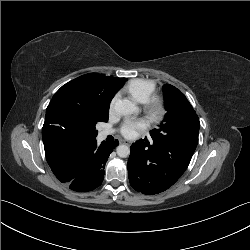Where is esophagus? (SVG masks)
<instances>
[{
    "label": "esophagus",
    "mask_w": 250,
    "mask_h": 250,
    "mask_svg": "<svg viewBox=\"0 0 250 250\" xmlns=\"http://www.w3.org/2000/svg\"><path fill=\"white\" fill-rule=\"evenodd\" d=\"M122 143L127 144V145L130 144L129 142H127V141H125V140H123Z\"/></svg>",
    "instance_id": "esophagus-1"
}]
</instances>
